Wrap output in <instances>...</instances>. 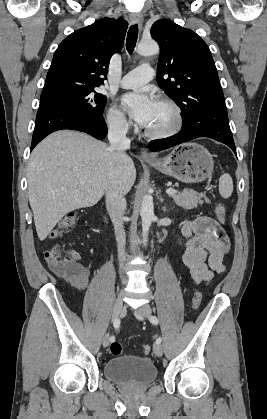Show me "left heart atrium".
<instances>
[{"label":"left heart atrium","mask_w":267,"mask_h":419,"mask_svg":"<svg viewBox=\"0 0 267 419\" xmlns=\"http://www.w3.org/2000/svg\"><path fill=\"white\" fill-rule=\"evenodd\" d=\"M121 103L131 116L142 126H146L151 118L156 100L149 94L132 92L121 98Z\"/></svg>","instance_id":"left-heart-atrium-1"}]
</instances>
